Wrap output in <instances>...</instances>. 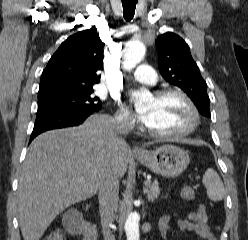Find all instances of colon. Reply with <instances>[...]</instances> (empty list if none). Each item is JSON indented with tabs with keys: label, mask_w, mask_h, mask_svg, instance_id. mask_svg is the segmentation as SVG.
Masks as SVG:
<instances>
[{
	"label": "colon",
	"mask_w": 248,
	"mask_h": 240,
	"mask_svg": "<svg viewBox=\"0 0 248 240\" xmlns=\"http://www.w3.org/2000/svg\"><path fill=\"white\" fill-rule=\"evenodd\" d=\"M181 195L186 201H191L195 197L194 189L190 185H186L182 188ZM44 240H64V235L61 230L55 229L51 231Z\"/></svg>",
	"instance_id": "5ec220e1"
}]
</instances>
